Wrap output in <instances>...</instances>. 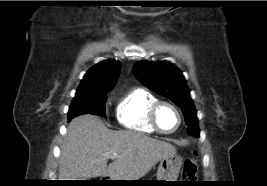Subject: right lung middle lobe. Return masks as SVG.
<instances>
[{
	"label": "right lung middle lobe",
	"instance_id": "right-lung-middle-lobe-1",
	"mask_svg": "<svg viewBox=\"0 0 267 186\" xmlns=\"http://www.w3.org/2000/svg\"><path fill=\"white\" fill-rule=\"evenodd\" d=\"M110 89L76 92L68 111V120L81 114L105 116L106 94Z\"/></svg>",
	"mask_w": 267,
	"mask_h": 186
}]
</instances>
